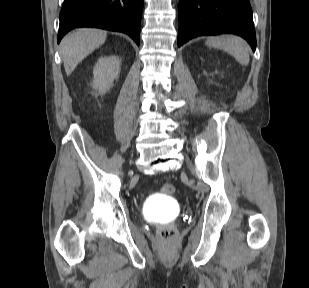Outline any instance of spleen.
<instances>
[{
  "mask_svg": "<svg viewBox=\"0 0 309 288\" xmlns=\"http://www.w3.org/2000/svg\"><path fill=\"white\" fill-rule=\"evenodd\" d=\"M209 47L223 49L232 55L241 65L247 66L250 61L249 46L245 40L233 35L209 37L206 41Z\"/></svg>",
  "mask_w": 309,
  "mask_h": 288,
  "instance_id": "3e777b00",
  "label": "spleen"
}]
</instances>
